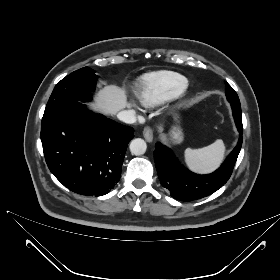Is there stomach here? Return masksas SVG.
Segmentation results:
<instances>
[{"mask_svg": "<svg viewBox=\"0 0 280 280\" xmlns=\"http://www.w3.org/2000/svg\"><path fill=\"white\" fill-rule=\"evenodd\" d=\"M170 140L173 144H179L183 141L184 135L182 129L178 126L172 128L169 133Z\"/></svg>", "mask_w": 280, "mask_h": 280, "instance_id": "obj_1", "label": "stomach"}]
</instances>
